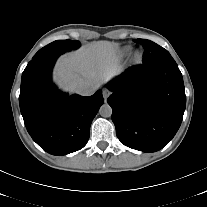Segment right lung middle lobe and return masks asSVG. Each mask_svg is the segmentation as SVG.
<instances>
[{"instance_id": "dd1d6c3e", "label": "right lung middle lobe", "mask_w": 207, "mask_h": 207, "mask_svg": "<svg viewBox=\"0 0 207 207\" xmlns=\"http://www.w3.org/2000/svg\"><path fill=\"white\" fill-rule=\"evenodd\" d=\"M80 46L79 41L72 40H57L45 47L41 48L32 59H36L48 54H62L73 49H77Z\"/></svg>"}]
</instances>
